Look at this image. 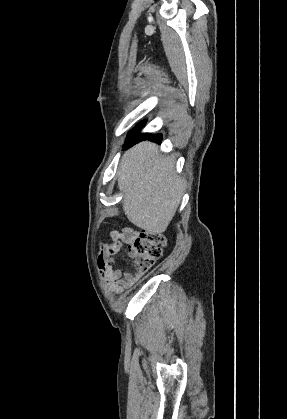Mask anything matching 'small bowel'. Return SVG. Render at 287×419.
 Here are the masks:
<instances>
[{
  "mask_svg": "<svg viewBox=\"0 0 287 419\" xmlns=\"http://www.w3.org/2000/svg\"><path fill=\"white\" fill-rule=\"evenodd\" d=\"M135 235L134 230L128 228L121 231L113 230L108 234L111 242L101 244L97 265L100 273L106 277L111 289L116 293H121L131 287L138 279L136 272L113 269L116 256L121 251L123 244H130ZM129 255L132 256L130 247Z\"/></svg>",
  "mask_w": 287,
  "mask_h": 419,
  "instance_id": "obj_1",
  "label": "small bowel"
}]
</instances>
